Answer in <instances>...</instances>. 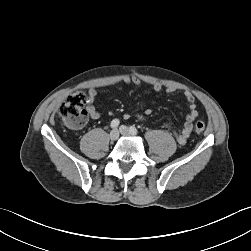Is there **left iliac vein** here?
<instances>
[{"mask_svg":"<svg viewBox=\"0 0 251 251\" xmlns=\"http://www.w3.org/2000/svg\"><path fill=\"white\" fill-rule=\"evenodd\" d=\"M119 131L122 135H126V136H133L135 134L131 133L130 130L128 129V127L121 125L119 128Z\"/></svg>","mask_w":251,"mask_h":251,"instance_id":"left-iliac-vein-1","label":"left iliac vein"}]
</instances>
